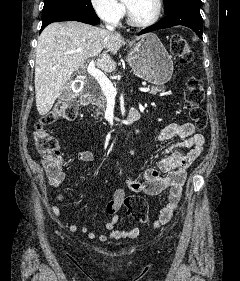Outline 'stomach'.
<instances>
[{
	"label": "stomach",
	"mask_w": 240,
	"mask_h": 281,
	"mask_svg": "<svg viewBox=\"0 0 240 281\" xmlns=\"http://www.w3.org/2000/svg\"><path fill=\"white\" fill-rule=\"evenodd\" d=\"M127 61L136 75L155 85L165 84L173 74L172 58L154 34H147L134 44Z\"/></svg>",
	"instance_id": "stomach-1"
}]
</instances>
